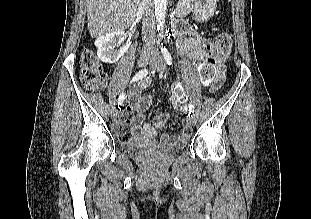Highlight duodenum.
Returning <instances> with one entry per match:
<instances>
[{
    "instance_id": "duodenum-1",
    "label": "duodenum",
    "mask_w": 311,
    "mask_h": 219,
    "mask_svg": "<svg viewBox=\"0 0 311 219\" xmlns=\"http://www.w3.org/2000/svg\"><path fill=\"white\" fill-rule=\"evenodd\" d=\"M183 29V26L180 25L177 22H173L171 24V30L173 31V33H178L179 31H181Z\"/></svg>"
}]
</instances>
